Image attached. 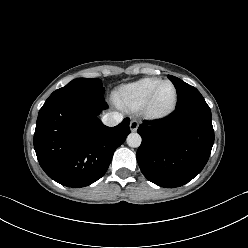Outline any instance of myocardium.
Returning a JSON list of instances; mask_svg holds the SVG:
<instances>
[{"label":"myocardium","mask_w":248,"mask_h":248,"mask_svg":"<svg viewBox=\"0 0 248 248\" xmlns=\"http://www.w3.org/2000/svg\"><path fill=\"white\" fill-rule=\"evenodd\" d=\"M165 84L171 85L173 90H174L173 102L170 105V107L168 109H166L165 111L153 112L151 110V103H152V101L154 99L155 94L159 90V88L162 85H165ZM177 102H178V90H177L176 85L170 80H161L158 84H156L150 90V92L145 97V99H144V101H143V103H142V105L140 107V112H141L142 116L144 118L148 119V120H153V121L161 120V119H164V118L170 116L174 112V110H175V108L177 106Z\"/></svg>","instance_id":"obj_1"}]
</instances>
